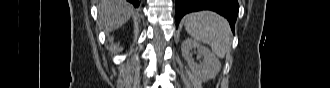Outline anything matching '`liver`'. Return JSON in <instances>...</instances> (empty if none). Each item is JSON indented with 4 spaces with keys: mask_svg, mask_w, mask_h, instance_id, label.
I'll return each mask as SVG.
<instances>
[{
    "mask_svg": "<svg viewBox=\"0 0 330 88\" xmlns=\"http://www.w3.org/2000/svg\"><path fill=\"white\" fill-rule=\"evenodd\" d=\"M99 20L107 32L118 29L133 14V6L125 0H101Z\"/></svg>",
    "mask_w": 330,
    "mask_h": 88,
    "instance_id": "obj_1",
    "label": "liver"
}]
</instances>
